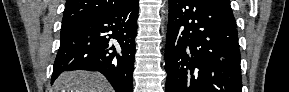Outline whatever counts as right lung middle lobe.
I'll return each mask as SVG.
<instances>
[{
    "label": "right lung middle lobe",
    "mask_w": 289,
    "mask_h": 92,
    "mask_svg": "<svg viewBox=\"0 0 289 92\" xmlns=\"http://www.w3.org/2000/svg\"><path fill=\"white\" fill-rule=\"evenodd\" d=\"M69 28H70V26H62V28H61V34H62V33H65Z\"/></svg>",
    "instance_id": "obj_1"
}]
</instances>
